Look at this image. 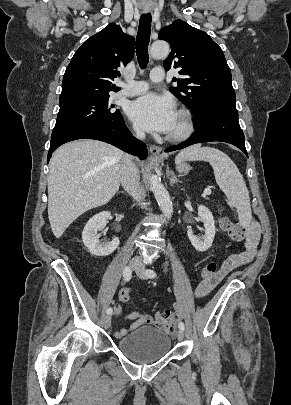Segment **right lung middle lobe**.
Segmentation results:
<instances>
[{
	"label": "right lung middle lobe",
	"instance_id": "right-lung-middle-lobe-1",
	"mask_svg": "<svg viewBox=\"0 0 291 405\" xmlns=\"http://www.w3.org/2000/svg\"><path fill=\"white\" fill-rule=\"evenodd\" d=\"M110 96L75 98L60 101V110L51 138L86 126H109L122 116L114 105L108 103Z\"/></svg>",
	"mask_w": 291,
	"mask_h": 405
}]
</instances>
